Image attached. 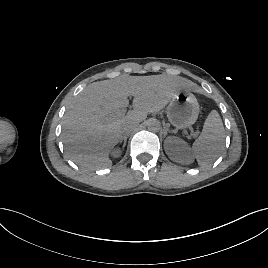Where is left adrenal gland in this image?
<instances>
[{
  "label": "left adrenal gland",
  "mask_w": 268,
  "mask_h": 268,
  "mask_svg": "<svg viewBox=\"0 0 268 268\" xmlns=\"http://www.w3.org/2000/svg\"><path fill=\"white\" fill-rule=\"evenodd\" d=\"M167 132H168V128L164 126V137L167 135Z\"/></svg>",
  "instance_id": "left-adrenal-gland-1"
}]
</instances>
